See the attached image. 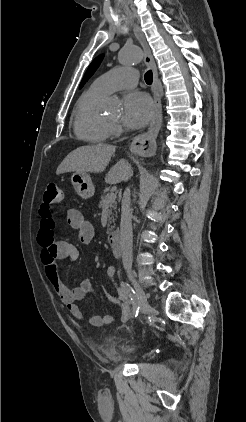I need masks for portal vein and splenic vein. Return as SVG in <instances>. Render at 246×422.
I'll return each instance as SVG.
<instances>
[{
	"mask_svg": "<svg viewBox=\"0 0 246 422\" xmlns=\"http://www.w3.org/2000/svg\"><path fill=\"white\" fill-rule=\"evenodd\" d=\"M115 199H116V193H110L109 195H108V197H107V203L109 204V203H112V202H114L115 201Z\"/></svg>",
	"mask_w": 246,
	"mask_h": 422,
	"instance_id": "portal-vein-and-splenic-vein-1",
	"label": "portal vein and splenic vein"
}]
</instances>
